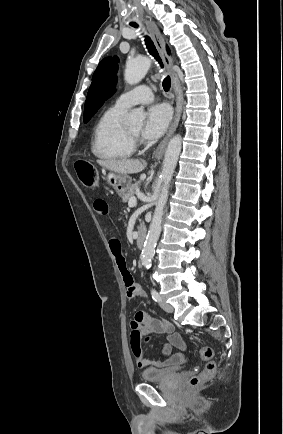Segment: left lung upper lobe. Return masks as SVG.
<instances>
[{
	"instance_id": "5c2ea615",
	"label": "left lung upper lobe",
	"mask_w": 283,
	"mask_h": 434,
	"mask_svg": "<svg viewBox=\"0 0 283 434\" xmlns=\"http://www.w3.org/2000/svg\"><path fill=\"white\" fill-rule=\"evenodd\" d=\"M118 57L104 58L96 68L90 85L84 109V122L97 112L102 104L115 93L118 71Z\"/></svg>"
}]
</instances>
